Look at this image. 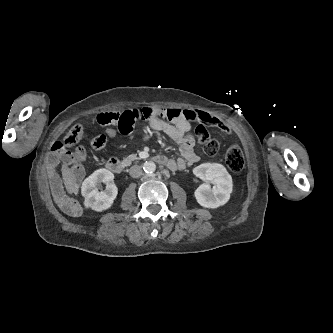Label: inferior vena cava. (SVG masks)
<instances>
[{
	"label": "inferior vena cava",
	"instance_id": "inferior-vena-cava-1",
	"mask_svg": "<svg viewBox=\"0 0 333 333\" xmlns=\"http://www.w3.org/2000/svg\"><path fill=\"white\" fill-rule=\"evenodd\" d=\"M130 176L133 178H137L142 175V169L138 165H133L129 170Z\"/></svg>",
	"mask_w": 333,
	"mask_h": 333
}]
</instances>
